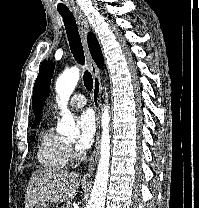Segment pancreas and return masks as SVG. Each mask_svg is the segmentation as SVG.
Masks as SVG:
<instances>
[{
	"label": "pancreas",
	"instance_id": "1",
	"mask_svg": "<svg viewBox=\"0 0 199 208\" xmlns=\"http://www.w3.org/2000/svg\"><path fill=\"white\" fill-rule=\"evenodd\" d=\"M59 208H72V207H71L70 203H66Z\"/></svg>",
	"mask_w": 199,
	"mask_h": 208
}]
</instances>
